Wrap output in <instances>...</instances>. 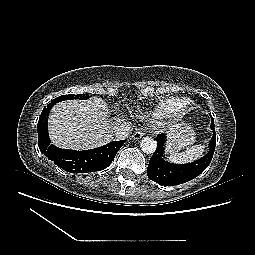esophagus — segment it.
<instances>
[{
  "label": "esophagus",
  "instance_id": "esophagus-1",
  "mask_svg": "<svg viewBox=\"0 0 255 255\" xmlns=\"http://www.w3.org/2000/svg\"><path fill=\"white\" fill-rule=\"evenodd\" d=\"M145 132L143 129H138L136 130L133 135H132V138L133 139H140L144 136Z\"/></svg>",
  "mask_w": 255,
  "mask_h": 255
}]
</instances>
